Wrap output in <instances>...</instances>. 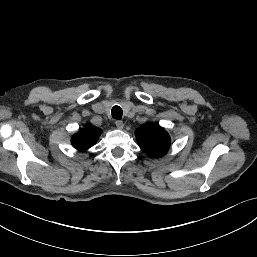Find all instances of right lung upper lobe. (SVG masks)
Wrapping results in <instances>:
<instances>
[{
  "label": "right lung upper lobe",
  "mask_w": 257,
  "mask_h": 257,
  "mask_svg": "<svg viewBox=\"0 0 257 257\" xmlns=\"http://www.w3.org/2000/svg\"><path fill=\"white\" fill-rule=\"evenodd\" d=\"M101 133V129L88 125L73 135L71 139L72 145L80 151L87 150L97 142Z\"/></svg>",
  "instance_id": "cb5924a9"
}]
</instances>
